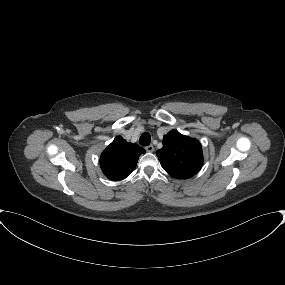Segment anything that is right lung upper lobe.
I'll use <instances>...</instances> for the list:
<instances>
[{"label": "right lung upper lobe", "mask_w": 285, "mask_h": 285, "mask_svg": "<svg viewBox=\"0 0 285 285\" xmlns=\"http://www.w3.org/2000/svg\"><path fill=\"white\" fill-rule=\"evenodd\" d=\"M145 150L137 144L126 142L121 136L102 152L100 166L104 175L112 181L125 179L136 167L138 157Z\"/></svg>", "instance_id": "cb5924a9"}]
</instances>
